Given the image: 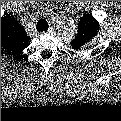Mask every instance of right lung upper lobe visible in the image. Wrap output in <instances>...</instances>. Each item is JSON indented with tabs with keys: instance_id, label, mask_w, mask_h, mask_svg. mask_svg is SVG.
Returning a JSON list of instances; mask_svg holds the SVG:
<instances>
[{
	"instance_id": "obj_1",
	"label": "right lung upper lobe",
	"mask_w": 121,
	"mask_h": 121,
	"mask_svg": "<svg viewBox=\"0 0 121 121\" xmlns=\"http://www.w3.org/2000/svg\"><path fill=\"white\" fill-rule=\"evenodd\" d=\"M30 43L24 28L11 16L1 18V47L10 54H19Z\"/></svg>"
}]
</instances>
